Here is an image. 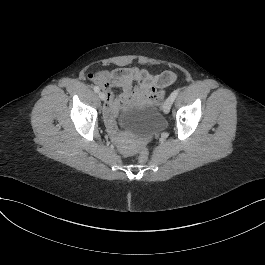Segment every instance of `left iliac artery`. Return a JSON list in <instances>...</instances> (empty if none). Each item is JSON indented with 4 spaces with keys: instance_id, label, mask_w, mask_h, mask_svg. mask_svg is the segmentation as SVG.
<instances>
[{
    "instance_id": "obj_1",
    "label": "left iliac artery",
    "mask_w": 265,
    "mask_h": 265,
    "mask_svg": "<svg viewBox=\"0 0 265 265\" xmlns=\"http://www.w3.org/2000/svg\"><path fill=\"white\" fill-rule=\"evenodd\" d=\"M177 95H178V90H175V91H173L172 92V94H171V98H172V100L174 101L175 100V98L177 97Z\"/></svg>"
}]
</instances>
